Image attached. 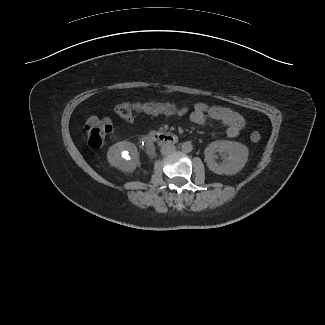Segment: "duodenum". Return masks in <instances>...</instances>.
Masks as SVG:
<instances>
[{
	"label": "duodenum",
	"mask_w": 325,
	"mask_h": 325,
	"mask_svg": "<svg viewBox=\"0 0 325 325\" xmlns=\"http://www.w3.org/2000/svg\"><path fill=\"white\" fill-rule=\"evenodd\" d=\"M148 140L172 145L178 141V136L171 132H153L148 136Z\"/></svg>",
	"instance_id": "duodenum-1"
}]
</instances>
